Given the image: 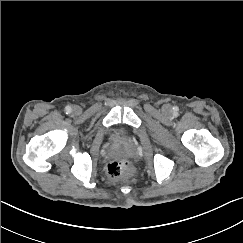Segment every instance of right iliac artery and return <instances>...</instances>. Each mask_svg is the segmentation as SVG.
Here are the masks:
<instances>
[{
    "label": "right iliac artery",
    "instance_id": "obj_1",
    "mask_svg": "<svg viewBox=\"0 0 243 243\" xmlns=\"http://www.w3.org/2000/svg\"><path fill=\"white\" fill-rule=\"evenodd\" d=\"M71 111H72V109H71L70 106H66V107H65V112H66V114H70Z\"/></svg>",
    "mask_w": 243,
    "mask_h": 243
}]
</instances>
